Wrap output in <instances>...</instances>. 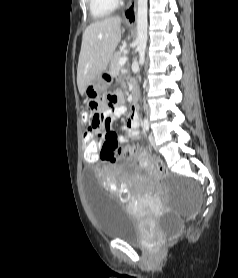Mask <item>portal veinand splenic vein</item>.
<instances>
[{"label": "portal vein and splenic vein", "instance_id": "18ae733b", "mask_svg": "<svg viewBox=\"0 0 238 278\" xmlns=\"http://www.w3.org/2000/svg\"><path fill=\"white\" fill-rule=\"evenodd\" d=\"M128 58L126 56L122 57L120 60H119V65L120 66H123L126 62H127Z\"/></svg>", "mask_w": 238, "mask_h": 278}]
</instances>
